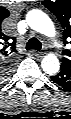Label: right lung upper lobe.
Listing matches in <instances>:
<instances>
[{"label": "right lung upper lobe", "mask_w": 71, "mask_h": 119, "mask_svg": "<svg viewBox=\"0 0 71 119\" xmlns=\"http://www.w3.org/2000/svg\"><path fill=\"white\" fill-rule=\"evenodd\" d=\"M0 12H1V20L8 17L10 14L9 11L3 7H1ZM1 41H3L4 43H6V45L9 46L8 49H10V52L16 51L14 49L16 40H11L8 36L4 35Z\"/></svg>", "instance_id": "cb5924a9"}]
</instances>
